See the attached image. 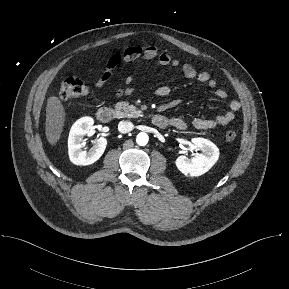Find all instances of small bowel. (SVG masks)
Here are the masks:
<instances>
[{
  "mask_svg": "<svg viewBox=\"0 0 289 289\" xmlns=\"http://www.w3.org/2000/svg\"><path fill=\"white\" fill-rule=\"evenodd\" d=\"M138 61H154L158 66H171L179 68L184 76L188 79L195 80L198 83L204 84L207 87L214 89L215 95L219 99H225L227 92L224 89L217 88V81L213 79L206 71L198 70L195 66L189 63H182L177 59L172 58L169 54L160 52L156 46L150 45L145 47L130 46L124 50L112 54L106 64V69L96 82L98 89L102 88L112 78L114 70L123 63L138 62ZM132 79L127 78V83ZM133 89L131 87H119L116 95H131ZM171 89L168 86H160L155 90V94L159 97H166L170 94ZM241 105L237 100H232L229 103V109L221 115L212 119L194 118L191 125L198 130L214 129L218 126H226L235 118L236 112ZM170 125L178 130H185L188 127L187 122L180 117H172L169 119Z\"/></svg>",
  "mask_w": 289,
  "mask_h": 289,
  "instance_id": "obj_1",
  "label": "small bowel"
}]
</instances>
